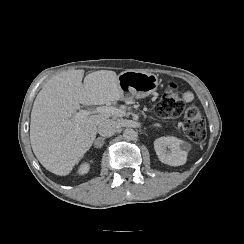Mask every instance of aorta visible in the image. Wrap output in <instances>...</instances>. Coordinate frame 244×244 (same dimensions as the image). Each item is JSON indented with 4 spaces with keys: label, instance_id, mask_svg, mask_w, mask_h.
<instances>
[{
    "label": "aorta",
    "instance_id": "obj_1",
    "mask_svg": "<svg viewBox=\"0 0 244 244\" xmlns=\"http://www.w3.org/2000/svg\"><path fill=\"white\" fill-rule=\"evenodd\" d=\"M123 136L126 140H134L137 134L133 129H125L123 132Z\"/></svg>",
    "mask_w": 244,
    "mask_h": 244
}]
</instances>
